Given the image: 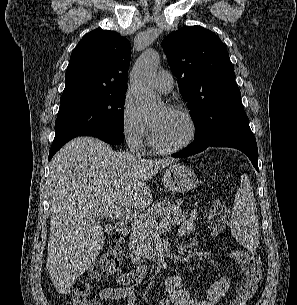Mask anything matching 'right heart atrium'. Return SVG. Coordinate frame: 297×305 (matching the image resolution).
Instances as JSON below:
<instances>
[{"label": "right heart atrium", "instance_id": "obj_1", "mask_svg": "<svg viewBox=\"0 0 297 305\" xmlns=\"http://www.w3.org/2000/svg\"><path fill=\"white\" fill-rule=\"evenodd\" d=\"M120 127L121 133L131 149L139 151L144 148L149 134L148 125L129 93L124 96L122 101Z\"/></svg>", "mask_w": 297, "mask_h": 305}]
</instances>
